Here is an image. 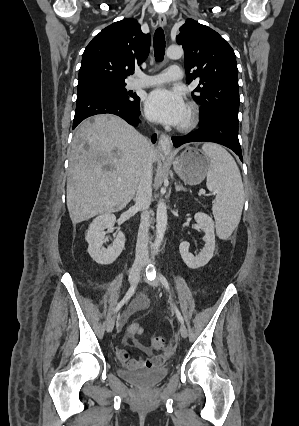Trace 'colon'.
Returning a JSON list of instances; mask_svg holds the SVG:
<instances>
[{
	"instance_id": "5ec220e1",
	"label": "colon",
	"mask_w": 299,
	"mask_h": 426,
	"mask_svg": "<svg viewBox=\"0 0 299 426\" xmlns=\"http://www.w3.org/2000/svg\"><path fill=\"white\" fill-rule=\"evenodd\" d=\"M143 332L142 326L139 323H131L128 327V333L133 338L138 337ZM152 347L156 350L168 352L166 347L165 340L162 337H154L151 341Z\"/></svg>"
}]
</instances>
